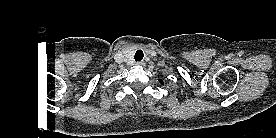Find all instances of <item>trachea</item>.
<instances>
[{
	"label": "trachea",
	"instance_id": "obj_1",
	"mask_svg": "<svg viewBox=\"0 0 276 138\" xmlns=\"http://www.w3.org/2000/svg\"><path fill=\"white\" fill-rule=\"evenodd\" d=\"M143 57H144L143 51L142 50H137L136 53H135V56H134L135 61L139 62L143 59Z\"/></svg>",
	"mask_w": 276,
	"mask_h": 138
}]
</instances>
